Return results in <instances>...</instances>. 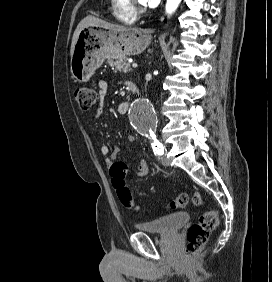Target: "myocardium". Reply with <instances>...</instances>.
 Here are the masks:
<instances>
[{"label": "myocardium", "instance_id": "myocardium-1", "mask_svg": "<svg viewBox=\"0 0 272 282\" xmlns=\"http://www.w3.org/2000/svg\"><path fill=\"white\" fill-rule=\"evenodd\" d=\"M128 8L135 15H140L146 12V9L139 4L138 0H128Z\"/></svg>", "mask_w": 272, "mask_h": 282}]
</instances>
